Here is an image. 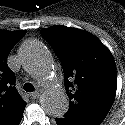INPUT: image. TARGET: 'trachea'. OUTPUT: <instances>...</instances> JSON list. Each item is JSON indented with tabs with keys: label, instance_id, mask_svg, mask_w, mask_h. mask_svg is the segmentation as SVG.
<instances>
[{
	"label": "trachea",
	"instance_id": "trachea-1",
	"mask_svg": "<svg viewBox=\"0 0 125 125\" xmlns=\"http://www.w3.org/2000/svg\"><path fill=\"white\" fill-rule=\"evenodd\" d=\"M23 89L26 92H33L35 90L33 84H31V83H25L24 86H23Z\"/></svg>",
	"mask_w": 125,
	"mask_h": 125
}]
</instances>
